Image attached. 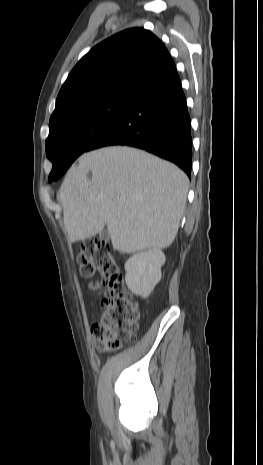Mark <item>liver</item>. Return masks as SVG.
<instances>
[{
  "label": "liver",
  "mask_w": 263,
  "mask_h": 465,
  "mask_svg": "<svg viewBox=\"0 0 263 465\" xmlns=\"http://www.w3.org/2000/svg\"><path fill=\"white\" fill-rule=\"evenodd\" d=\"M188 184L177 166L139 149L114 146L85 153L60 189L69 240H84L107 225L120 252L167 248L178 232Z\"/></svg>",
  "instance_id": "1"
}]
</instances>
